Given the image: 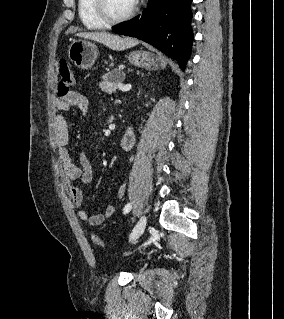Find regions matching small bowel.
Returning a JSON list of instances; mask_svg holds the SVG:
<instances>
[{
    "instance_id": "1",
    "label": "small bowel",
    "mask_w": 284,
    "mask_h": 319,
    "mask_svg": "<svg viewBox=\"0 0 284 319\" xmlns=\"http://www.w3.org/2000/svg\"><path fill=\"white\" fill-rule=\"evenodd\" d=\"M87 104V98L77 91H71L66 96L58 97L55 100V107L58 113L54 117L53 130L54 140L60 149L59 154L63 170L69 181L70 196L77 210V214L82 221L87 222L90 225L97 226L101 225L105 220L113 217L116 212V208L114 205H109L103 213L92 215L88 214L83 208L84 195L78 182L89 183L93 176V167L86 154H80L79 165L74 163L70 152L67 149L69 143L68 123L66 118L60 114V112L68 111L74 107L85 112ZM125 190V185H120L117 191V196L122 198L125 194Z\"/></svg>"
}]
</instances>
